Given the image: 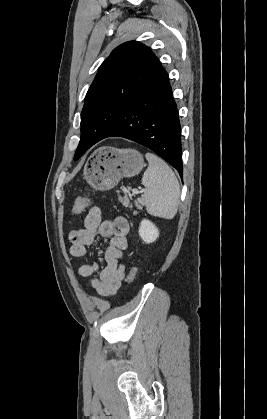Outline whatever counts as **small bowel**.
I'll list each match as a JSON object with an SVG mask.
<instances>
[{
	"mask_svg": "<svg viewBox=\"0 0 267 419\" xmlns=\"http://www.w3.org/2000/svg\"><path fill=\"white\" fill-rule=\"evenodd\" d=\"M130 226L126 218L116 217L113 220H102V212L98 206H93L84 218V227L69 233L71 242L70 255L87 257L89 247L97 235L109 241L105 250V266L100 268L97 263H86L78 268V275L91 277L99 272L98 277L90 280V286L102 296L116 294L125 277V251L128 248L127 236Z\"/></svg>",
	"mask_w": 267,
	"mask_h": 419,
	"instance_id": "small-bowel-1",
	"label": "small bowel"
}]
</instances>
